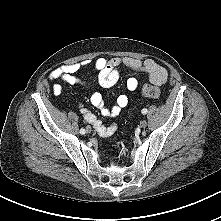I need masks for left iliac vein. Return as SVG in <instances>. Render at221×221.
<instances>
[{
    "mask_svg": "<svg viewBox=\"0 0 221 221\" xmlns=\"http://www.w3.org/2000/svg\"><path fill=\"white\" fill-rule=\"evenodd\" d=\"M141 127L142 128H146L147 127V121L146 120H143L141 123H140Z\"/></svg>",
    "mask_w": 221,
    "mask_h": 221,
    "instance_id": "left-iliac-vein-1",
    "label": "left iliac vein"
}]
</instances>
